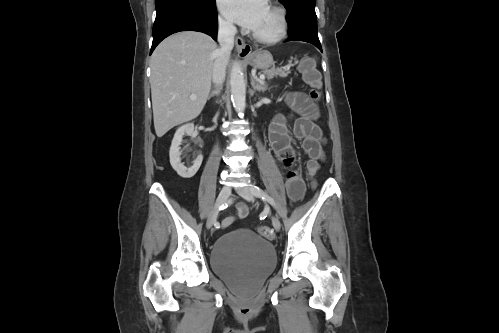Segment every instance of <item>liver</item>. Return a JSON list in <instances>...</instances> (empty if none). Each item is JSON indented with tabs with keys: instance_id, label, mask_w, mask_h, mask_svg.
<instances>
[{
	"instance_id": "6515ba94",
	"label": "liver",
	"mask_w": 499,
	"mask_h": 333,
	"mask_svg": "<svg viewBox=\"0 0 499 333\" xmlns=\"http://www.w3.org/2000/svg\"><path fill=\"white\" fill-rule=\"evenodd\" d=\"M217 44L208 35L182 31L163 40L151 56V97L157 137L195 119L210 89ZM196 95V99L190 96Z\"/></svg>"
}]
</instances>
